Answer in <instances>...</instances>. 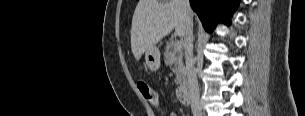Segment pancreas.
<instances>
[{
  "label": "pancreas",
  "instance_id": "cf45deb5",
  "mask_svg": "<svg viewBox=\"0 0 305 116\" xmlns=\"http://www.w3.org/2000/svg\"><path fill=\"white\" fill-rule=\"evenodd\" d=\"M165 63L170 67H173V71L176 74V83L181 85L185 81V66L183 63V50L174 49V43L172 41L167 42L164 52Z\"/></svg>",
  "mask_w": 305,
  "mask_h": 116
}]
</instances>
